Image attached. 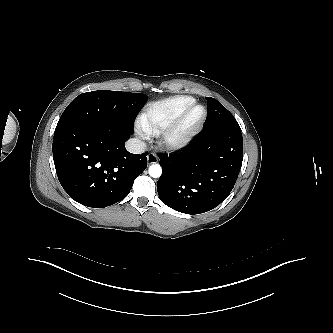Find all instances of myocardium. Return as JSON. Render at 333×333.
I'll list each match as a JSON object with an SVG mask.
<instances>
[{"label":"myocardium","instance_id":"1","mask_svg":"<svg viewBox=\"0 0 333 333\" xmlns=\"http://www.w3.org/2000/svg\"><path fill=\"white\" fill-rule=\"evenodd\" d=\"M196 108H201L202 113L196 121L189 123V117ZM206 119L207 108L194 101L186 107L166 129L162 131L160 137L161 146L168 150H178L187 146L201 130Z\"/></svg>","mask_w":333,"mask_h":333}]
</instances>
